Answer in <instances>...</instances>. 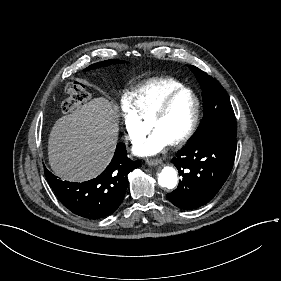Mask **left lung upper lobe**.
<instances>
[{"label":"left lung upper lobe","mask_w":281,"mask_h":281,"mask_svg":"<svg viewBox=\"0 0 281 281\" xmlns=\"http://www.w3.org/2000/svg\"><path fill=\"white\" fill-rule=\"evenodd\" d=\"M188 67L200 83L204 107V117L192 138L206 133L236 137V118L224 88L199 68L192 65H188Z\"/></svg>","instance_id":"left-lung-upper-lobe-1"}]
</instances>
